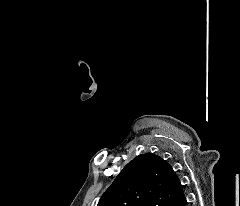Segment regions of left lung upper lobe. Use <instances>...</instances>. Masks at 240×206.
<instances>
[{
  "instance_id": "1",
  "label": "left lung upper lobe",
  "mask_w": 240,
  "mask_h": 206,
  "mask_svg": "<svg viewBox=\"0 0 240 206\" xmlns=\"http://www.w3.org/2000/svg\"><path fill=\"white\" fill-rule=\"evenodd\" d=\"M180 188L179 177L170 164L146 153L123 168L98 206H169Z\"/></svg>"
}]
</instances>
